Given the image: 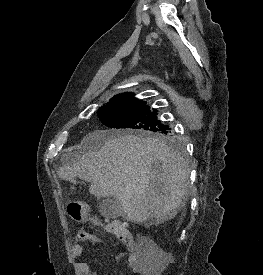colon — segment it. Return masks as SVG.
<instances>
[{"label": "colon", "mask_w": 263, "mask_h": 275, "mask_svg": "<svg viewBox=\"0 0 263 275\" xmlns=\"http://www.w3.org/2000/svg\"><path fill=\"white\" fill-rule=\"evenodd\" d=\"M68 212L70 216L76 221H88L95 220L90 214L88 208L80 202H74L69 204ZM105 230L117 237L123 244L128 247H133V236L127 226L119 221H113L107 224ZM164 263V257L162 253L153 251L147 255L144 261V274L145 275H157V272L161 265Z\"/></svg>", "instance_id": "colon-1"}]
</instances>
